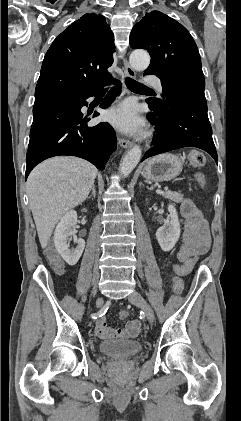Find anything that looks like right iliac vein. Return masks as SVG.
Segmentation results:
<instances>
[{"label":"right iliac vein","instance_id":"1","mask_svg":"<svg viewBox=\"0 0 241 421\" xmlns=\"http://www.w3.org/2000/svg\"><path fill=\"white\" fill-rule=\"evenodd\" d=\"M103 304V299L102 298H98L97 299V305H102Z\"/></svg>","mask_w":241,"mask_h":421}]
</instances>
